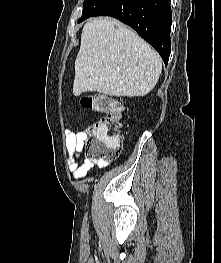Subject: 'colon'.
<instances>
[{"instance_id": "colon-1", "label": "colon", "mask_w": 221, "mask_h": 263, "mask_svg": "<svg viewBox=\"0 0 221 263\" xmlns=\"http://www.w3.org/2000/svg\"><path fill=\"white\" fill-rule=\"evenodd\" d=\"M80 104L85 109L102 114L87 128L86 156L92 161L116 158L121 148L123 101L108 94H94L82 96Z\"/></svg>"}]
</instances>
